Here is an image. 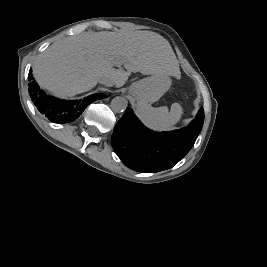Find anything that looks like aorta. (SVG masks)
<instances>
[{
	"label": "aorta",
	"mask_w": 267,
	"mask_h": 267,
	"mask_svg": "<svg viewBox=\"0 0 267 267\" xmlns=\"http://www.w3.org/2000/svg\"><path fill=\"white\" fill-rule=\"evenodd\" d=\"M127 106H128L127 99L121 96L115 97L111 101V109L116 113L125 111Z\"/></svg>",
	"instance_id": "762f6f07"
}]
</instances>
